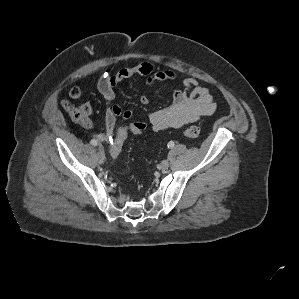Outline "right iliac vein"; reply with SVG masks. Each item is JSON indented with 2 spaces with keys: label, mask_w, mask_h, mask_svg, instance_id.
Here are the masks:
<instances>
[{
  "label": "right iliac vein",
  "mask_w": 299,
  "mask_h": 299,
  "mask_svg": "<svg viewBox=\"0 0 299 299\" xmlns=\"http://www.w3.org/2000/svg\"><path fill=\"white\" fill-rule=\"evenodd\" d=\"M97 159H98V162L100 164L104 163L105 162V154L104 152L102 151L101 147H100V150L98 151L97 153Z\"/></svg>",
  "instance_id": "63e3f726"
}]
</instances>
